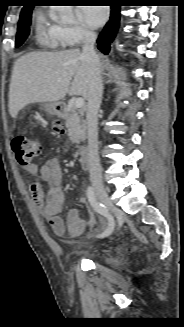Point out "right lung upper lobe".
Wrapping results in <instances>:
<instances>
[{"mask_svg": "<svg viewBox=\"0 0 184 327\" xmlns=\"http://www.w3.org/2000/svg\"><path fill=\"white\" fill-rule=\"evenodd\" d=\"M30 9H33V6H31V5H25V6L23 7L21 13H22V12H25V11H28V10H30Z\"/></svg>", "mask_w": 184, "mask_h": 327, "instance_id": "1", "label": "right lung upper lobe"}]
</instances>
